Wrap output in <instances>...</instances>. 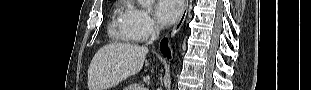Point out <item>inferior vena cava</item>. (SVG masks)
<instances>
[{"instance_id":"inferior-vena-cava-1","label":"inferior vena cava","mask_w":311,"mask_h":90,"mask_svg":"<svg viewBox=\"0 0 311 90\" xmlns=\"http://www.w3.org/2000/svg\"><path fill=\"white\" fill-rule=\"evenodd\" d=\"M159 28H155L152 35H151V39H150V42H153L154 40H156L159 36Z\"/></svg>"}]
</instances>
